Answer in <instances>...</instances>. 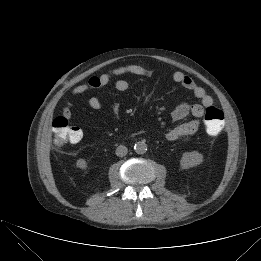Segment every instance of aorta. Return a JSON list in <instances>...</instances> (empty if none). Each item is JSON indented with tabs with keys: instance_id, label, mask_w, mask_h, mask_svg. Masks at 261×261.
Segmentation results:
<instances>
[{
	"instance_id": "1",
	"label": "aorta",
	"mask_w": 261,
	"mask_h": 261,
	"mask_svg": "<svg viewBox=\"0 0 261 261\" xmlns=\"http://www.w3.org/2000/svg\"><path fill=\"white\" fill-rule=\"evenodd\" d=\"M134 150L137 154H145L147 151V144L143 141H139L135 144Z\"/></svg>"
}]
</instances>
